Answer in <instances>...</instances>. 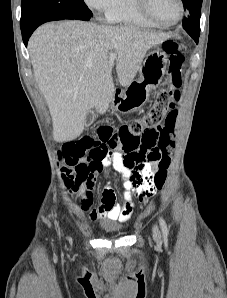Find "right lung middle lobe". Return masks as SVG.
<instances>
[{
    "mask_svg": "<svg viewBox=\"0 0 227 298\" xmlns=\"http://www.w3.org/2000/svg\"><path fill=\"white\" fill-rule=\"evenodd\" d=\"M93 16L83 0H22L21 30L47 18L89 20Z\"/></svg>",
    "mask_w": 227,
    "mask_h": 298,
    "instance_id": "obj_1",
    "label": "right lung middle lobe"
}]
</instances>
